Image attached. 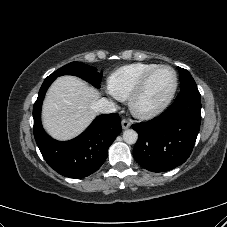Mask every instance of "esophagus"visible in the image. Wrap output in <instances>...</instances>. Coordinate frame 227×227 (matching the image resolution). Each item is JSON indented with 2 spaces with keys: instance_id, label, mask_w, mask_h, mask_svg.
I'll return each mask as SVG.
<instances>
[{
  "instance_id": "obj_1",
  "label": "esophagus",
  "mask_w": 227,
  "mask_h": 227,
  "mask_svg": "<svg viewBox=\"0 0 227 227\" xmlns=\"http://www.w3.org/2000/svg\"><path fill=\"white\" fill-rule=\"evenodd\" d=\"M121 124H122V128L123 129L129 128L130 125H131L130 121H128L127 119H123L122 122H121Z\"/></svg>"
}]
</instances>
